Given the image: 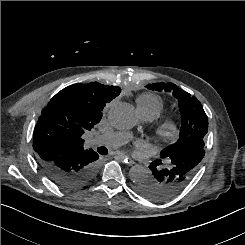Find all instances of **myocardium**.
<instances>
[{
  "label": "myocardium",
  "instance_id": "obj_1",
  "mask_svg": "<svg viewBox=\"0 0 245 245\" xmlns=\"http://www.w3.org/2000/svg\"><path fill=\"white\" fill-rule=\"evenodd\" d=\"M156 139L163 142L176 141L181 134V125L175 116H167L160 120L154 128Z\"/></svg>",
  "mask_w": 245,
  "mask_h": 245
}]
</instances>
